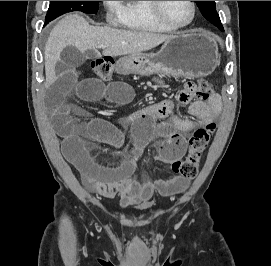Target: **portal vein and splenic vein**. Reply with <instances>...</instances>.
Returning a JSON list of instances; mask_svg holds the SVG:
<instances>
[{
	"instance_id": "obj_1",
	"label": "portal vein and splenic vein",
	"mask_w": 271,
	"mask_h": 266,
	"mask_svg": "<svg viewBox=\"0 0 271 266\" xmlns=\"http://www.w3.org/2000/svg\"><path fill=\"white\" fill-rule=\"evenodd\" d=\"M106 46L105 45H100L99 48H105Z\"/></svg>"
}]
</instances>
